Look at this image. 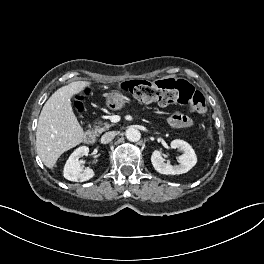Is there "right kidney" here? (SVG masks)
I'll return each mask as SVG.
<instances>
[{
  "label": "right kidney",
  "instance_id": "ca27d5eb",
  "mask_svg": "<svg viewBox=\"0 0 264 264\" xmlns=\"http://www.w3.org/2000/svg\"><path fill=\"white\" fill-rule=\"evenodd\" d=\"M88 153L89 148L87 146H80L70 155L63 170V176L67 180L84 182L91 179L95 175V172L92 169H83L80 166L79 158L87 156Z\"/></svg>",
  "mask_w": 264,
  "mask_h": 264
}]
</instances>
